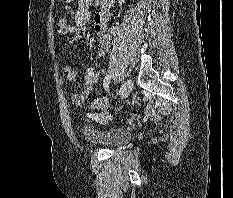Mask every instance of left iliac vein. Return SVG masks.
<instances>
[{
    "label": "left iliac vein",
    "mask_w": 233,
    "mask_h": 198,
    "mask_svg": "<svg viewBox=\"0 0 233 198\" xmlns=\"http://www.w3.org/2000/svg\"><path fill=\"white\" fill-rule=\"evenodd\" d=\"M132 89H133V81L131 79L125 80L120 89L121 99L122 100L126 99L130 95Z\"/></svg>",
    "instance_id": "4c4485c4"
}]
</instances>
